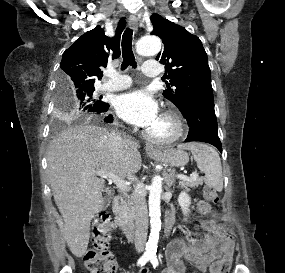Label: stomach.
I'll use <instances>...</instances> for the list:
<instances>
[{
	"label": "stomach",
	"instance_id": "1",
	"mask_svg": "<svg viewBox=\"0 0 285 273\" xmlns=\"http://www.w3.org/2000/svg\"><path fill=\"white\" fill-rule=\"evenodd\" d=\"M150 156L155 160L162 161L175 167L185 166L189 161L188 154L180 147L177 149L170 148L162 150L157 154H150Z\"/></svg>",
	"mask_w": 285,
	"mask_h": 273
}]
</instances>
